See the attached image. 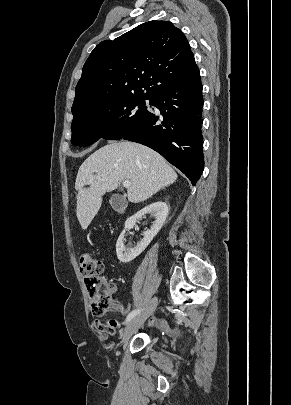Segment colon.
Here are the masks:
<instances>
[{
    "label": "colon",
    "mask_w": 291,
    "mask_h": 405,
    "mask_svg": "<svg viewBox=\"0 0 291 405\" xmlns=\"http://www.w3.org/2000/svg\"><path fill=\"white\" fill-rule=\"evenodd\" d=\"M80 273L90 298L91 312L104 315L111 308L110 284L102 276L103 262L92 253L83 252L79 256ZM162 326H166L161 322Z\"/></svg>",
    "instance_id": "obj_1"
}]
</instances>
